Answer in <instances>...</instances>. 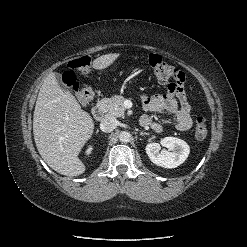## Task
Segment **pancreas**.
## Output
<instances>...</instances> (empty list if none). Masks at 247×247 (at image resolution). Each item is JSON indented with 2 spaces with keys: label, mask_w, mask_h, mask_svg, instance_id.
Segmentation results:
<instances>
[{
  "label": "pancreas",
  "mask_w": 247,
  "mask_h": 247,
  "mask_svg": "<svg viewBox=\"0 0 247 247\" xmlns=\"http://www.w3.org/2000/svg\"><path fill=\"white\" fill-rule=\"evenodd\" d=\"M125 98L120 95H115L111 98H103L99 105L104 109L108 116L123 117L125 113V107L123 102Z\"/></svg>",
  "instance_id": "cf45deb5"
}]
</instances>
